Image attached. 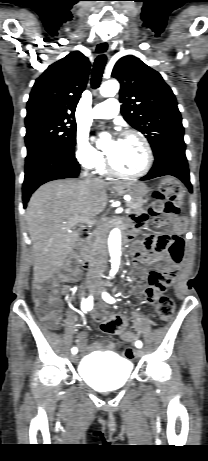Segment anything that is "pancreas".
<instances>
[{"mask_svg":"<svg viewBox=\"0 0 208 461\" xmlns=\"http://www.w3.org/2000/svg\"><path fill=\"white\" fill-rule=\"evenodd\" d=\"M145 201L140 198V199H132L131 201L126 202L127 208L132 212V211H139L142 209L143 204ZM95 243L93 244L94 248Z\"/></svg>","mask_w":208,"mask_h":461,"instance_id":"pancreas-1","label":"pancreas"}]
</instances>
